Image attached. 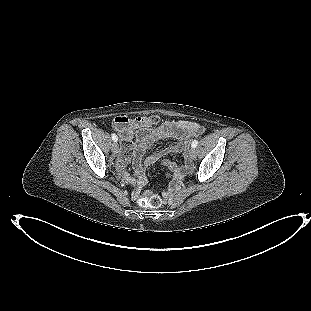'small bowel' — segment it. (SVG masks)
I'll return each mask as SVG.
<instances>
[{
    "label": "small bowel",
    "instance_id": "small-bowel-1",
    "mask_svg": "<svg viewBox=\"0 0 311 311\" xmlns=\"http://www.w3.org/2000/svg\"><path fill=\"white\" fill-rule=\"evenodd\" d=\"M146 119L145 117L117 116L112 122V127L120 134L122 140V149L119 153L120 172L123 178L134 186L133 199L138 198L142 187L146 184L145 169L167 155L183 151L187 142L201 131L197 123L187 120L166 121L156 127H151ZM134 137H136V142L133 141ZM162 139H175L176 142L143 157L153 142ZM128 160L133 161L134 177L130 176L125 169V163ZM165 164L173 172L174 178L180 176L188 167L187 164L180 166L171 160H167ZM164 195L166 198L169 197L168 192Z\"/></svg>",
    "mask_w": 311,
    "mask_h": 311
}]
</instances>
